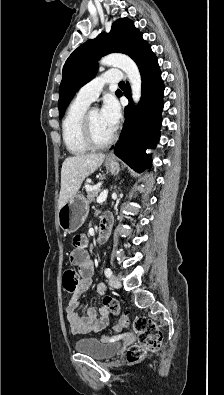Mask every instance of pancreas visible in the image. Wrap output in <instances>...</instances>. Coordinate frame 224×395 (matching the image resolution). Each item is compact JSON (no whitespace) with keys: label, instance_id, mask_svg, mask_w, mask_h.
<instances>
[{"label":"pancreas","instance_id":"pancreas-1","mask_svg":"<svg viewBox=\"0 0 224 395\" xmlns=\"http://www.w3.org/2000/svg\"><path fill=\"white\" fill-rule=\"evenodd\" d=\"M100 191H101L100 187L87 189V201H88V203H91V202L95 201V198L98 197V194H99Z\"/></svg>","mask_w":224,"mask_h":395}]
</instances>
